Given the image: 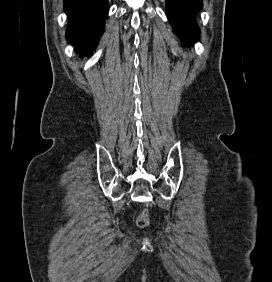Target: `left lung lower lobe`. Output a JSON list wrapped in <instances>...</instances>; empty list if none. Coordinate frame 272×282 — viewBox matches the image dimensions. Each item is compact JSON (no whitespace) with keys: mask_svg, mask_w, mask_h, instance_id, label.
Segmentation results:
<instances>
[{"mask_svg":"<svg viewBox=\"0 0 272 282\" xmlns=\"http://www.w3.org/2000/svg\"><path fill=\"white\" fill-rule=\"evenodd\" d=\"M202 8V0H166V11L177 35L186 44H193L199 35L195 15Z\"/></svg>","mask_w":272,"mask_h":282,"instance_id":"left-lung-lower-lobe-1","label":"left lung lower lobe"}]
</instances>
